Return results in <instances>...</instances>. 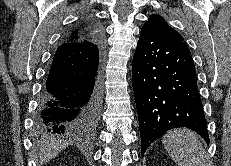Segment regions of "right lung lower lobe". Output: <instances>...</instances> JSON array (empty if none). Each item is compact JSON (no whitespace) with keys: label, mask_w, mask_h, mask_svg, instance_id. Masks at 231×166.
<instances>
[{"label":"right lung lower lobe","mask_w":231,"mask_h":166,"mask_svg":"<svg viewBox=\"0 0 231 166\" xmlns=\"http://www.w3.org/2000/svg\"><path fill=\"white\" fill-rule=\"evenodd\" d=\"M88 42H62L39 98L36 127L42 133L82 135L99 119L102 102L103 36L90 19Z\"/></svg>","instance_id":"right-lung-lower-lobe-1"}]
</instances>
